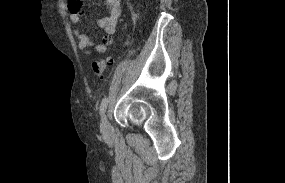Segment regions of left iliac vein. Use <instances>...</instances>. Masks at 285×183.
Masks as SVG:
<instances>
[{"label": "left iliac vein", "instance_id": "1", "mask_svg": "<svg viewBox=\"0 0 285 183\" xmlns=\"http://www.w3.org/2000/svg\"><path fill=\"white\" fill-rule=\"evenodd\" d=\"M101 133L104 138H109L112 135V127L109 123V120L107 118L106 114H103L101 119Z\"/></svg>", "mask_w": 285, "mask_h": 183}]
</instances>
